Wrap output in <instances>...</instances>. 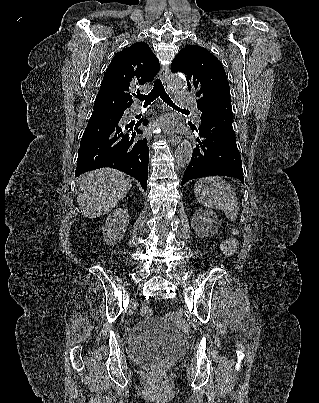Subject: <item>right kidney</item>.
<instances>
[{"mask_svg":"<svg viewBox=\"0 0 319 403\" xmlns=\"http://www.w3.org/2000/svg\"><path fill=\"white\" fill-rule=\"evenodd\" d=\"M129 224V214L126 209L114 210L106 219L102 234L107 244L114 245L120 241Z\"/></svg>","mask_w":319,"mask_h":403,"instance_id":"ca27d5eb","label":"right kidney"}]
</instances>
